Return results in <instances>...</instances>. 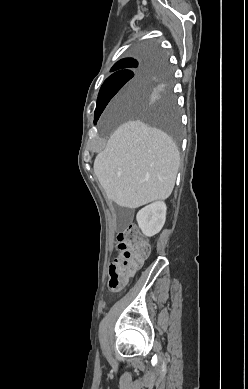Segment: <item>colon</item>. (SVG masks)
Here are the masks:
<instances>
[{
  "instance_id": "5ec220e1",
  "label": "colon",
  "mask_w": 248,
  "mask_h": 389,
  "mask_svg": "<svg viewBox=\"0 0 248 389\" xmlns=\"http://www.w3.org/2000/svg\"><path fill=\"white\" fill-rule=\"evenodd\" d=\"M116 248L118 258L109 266V285L112 289L125 287L150 253L148 241L141 237L135 224L119 232Z\"/></svg>"
}]
</instances>
